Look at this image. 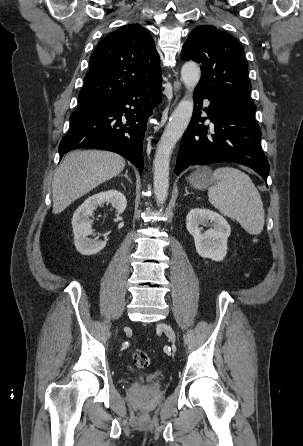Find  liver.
<instances>
[{
  "instance_id": "obj_1",
  "label": "liver",
  "mask_w": 303,
  "mask_h": 446,
  "mask_svg": "<svg viewBox=\"0 0 303 446\" xmlns=\"http://www.w3.org/2000/svg\"><path fill=\"white\" fill-rule=\"evenodd\" d=\"M124 167V158L113 152H70L57 168L53 178V213H61L79 197L117 176Z\"/></svg>"
}]
</instances>
